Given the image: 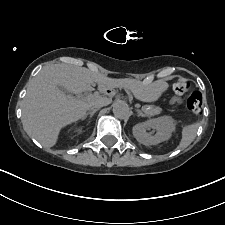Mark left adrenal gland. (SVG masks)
Segmentation results:
<instances>
[{
	"mask_svg": "<svg viewBox=\"0 0 225 225\" xmlns=\"http://www.w3.org/2000/svg\"><path fill=\"white\" fill-rule=\"evenodd\" d=\"M137 114H138V116H141V117H146V115H145V114H143L140 110H137Z\"/></svg>",
	"mask_w": 225,
	"mask_h": 225,
	"instance_id": "left-adrenal-gland-1",
	"label": "left adrenal gland"
}]
</instances>
